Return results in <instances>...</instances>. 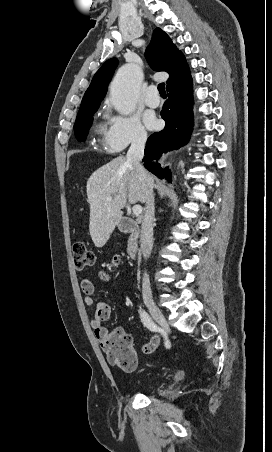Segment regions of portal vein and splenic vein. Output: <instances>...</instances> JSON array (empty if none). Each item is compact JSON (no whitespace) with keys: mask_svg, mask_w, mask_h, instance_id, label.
I'll use <instances>...</instances> for the list:
<instances>
[{"mask_svg":"<svg viewBox=\"0 0 272 452\" xmlns=\"http://www.w3.org/2000/svg\"><path fill=\"white\" fill-rule=\"evenodd\" d=\"M112 200V196L107 197V201H111ZM133 214L134 215H140L142 213V207L140 205H134L132 208Z\"/></svg>","mask_w":272,"mask_h":452,"instance_id":"1","label":"portal vein and splenic vein"}]
</instances>
